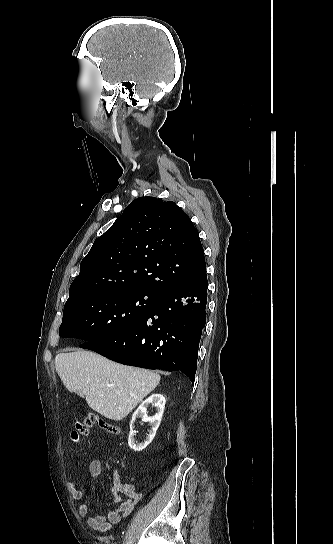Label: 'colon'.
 I'll return each instance as SVG.
<instances>
[{
  "mask_svg": "<svg viewBox=\"0 0 333 544\" xmlns=\"http://www.w3.org/2000/svg\"><path fill=\"white\" fill-rule=\"evenodd\" d=\"M98 425L107 433L118 435L120 428L117 424L105 420L94 413H89L76 423L75 429L71 433V438L75 443H81L88 436L90 429Z\"/></svg>",
  "mask_w": 333,
  "mask_h": 544,
  "instance_id": "colon-1",
  "label": "colon"
}]
</instances>
